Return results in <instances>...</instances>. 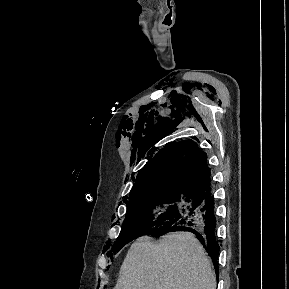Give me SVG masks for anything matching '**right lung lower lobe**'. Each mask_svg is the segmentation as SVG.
<instances>
[{
	"label": "right lung lower lobe",
	"instance_id": "right-lung-lower-lobe-1",
	"mask_svg": "<svg viewBox=\"0 0 289 289\" xmlns=\"http://www.w3.org/2000/svg\"><path fill=\"white\" fill-rule=\"evenodd\" d=\"M199 202L185 218L167 230L154 232L150 235L161 236L173 231H189L195 234L207 253L211 257L216 273L218 274L217 257L219 253L218 241L215 237L216 218L214 212V198L211 190L208 189L201 195H198Z\"/></svg>",
	"mask_w": 289,
	"mask_h": 289
}]
</instances>
